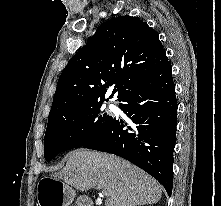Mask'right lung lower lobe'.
Returning <instances> with one entry per match:
<instances>
[{
	"label": "right lung lower lobe",
	"instance_id": "98d812e1",
	"mask_svg": "<svg viewBox=\"0 0 221 206\" xmlns=\"http://www.w3.org/2000/svg\"><path fill=\"white\" fill-rule=\"evenodd\" d=\"M119 101L127 120L113 118L82 147L104 151L134 163L171 194L177 101L171 63L133 87Z\"/></svg>",
	"mask_w": 221,
	"mask_h": 206
}]
</instances>
